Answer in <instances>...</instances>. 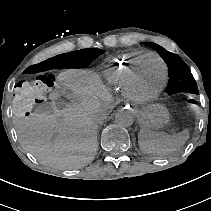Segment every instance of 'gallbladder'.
Here are the masks:
<instances>
[{
  "label": "gallbladder",
  "instance_id": "obj_1",
  "mask_svg": "<svg viewBox=\"0 0 211 211\" xmlns=\"http://www.w3.org/2000/svg\"><path fill=\"white\" fill-rule=\"evenodd\" d=\"M62 96H63L64 98H67V99H72L71 93L68 92V91L63 92V93H62ZM56 106H57L58 108H64V107H65V103H64L63 100H58V101H56Z\"/></svg>",
  "mask_w": 211,
  "mask_h": 211
}]
</instances>
